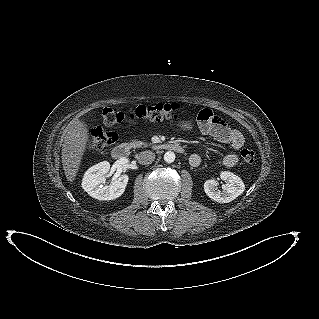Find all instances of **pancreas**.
I'll return each instance as SVG.
<instances>
[{
    "label": "pancreas",
    "instance_id": "obj_1",
    "mask_svg": "<svg viewBox=\"0 0 319 319\" xmlns=\"http://www.w3.org/2000/svg\"><path fill=\"white\" fill-rule=\"evenodd\" d=\"M128 147L130 148H140V147H147L149 144L147 142L132 140L131 142L127 143Z\"/></svg>",
    "mask_w": 319,
    "mask_h": 319
}]
</instances>
